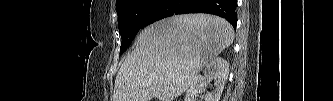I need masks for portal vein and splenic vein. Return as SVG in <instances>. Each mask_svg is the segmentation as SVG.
<instances>
[{
    "mask_svg": "<svg viewBox=\"0 0 333 101\" xmlns=\"http://www.w3.org/2000/svg\"><path fill=\"white\" fill-rule=\"evenodd\" d=\"M172 77H173V75H172V74H169V75H168V78H172Z\"/></svg>",
    "mask_w": 333,
    "mask_h": 101,
    "instance_id": "1",
    "label": "portal vein and splenic vein"
}]
</instances>
